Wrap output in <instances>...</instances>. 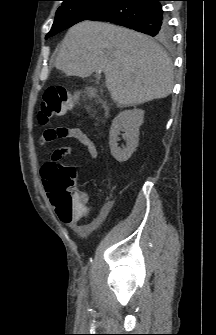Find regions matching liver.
Wrapping results in <instances>:
<instances>
[{
	"mask_svg": "<svg viewBox=\"0 0 216 335\" xmlns=\"http://www.w3.org/2000/svg\"><path fill=\"white\" fill-rule=\"evenodd\" d=\"M68 76L103 71L118 107L167 97L173 89V64L149 37L110 23L83 21L71 27L55 59Z\"/></svg>",
	"mask_w": 216,
	"mask_h": 335,
	"instance_id": "6515ba94",
	"label": "liver"
}]
</instances>
